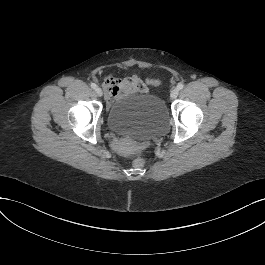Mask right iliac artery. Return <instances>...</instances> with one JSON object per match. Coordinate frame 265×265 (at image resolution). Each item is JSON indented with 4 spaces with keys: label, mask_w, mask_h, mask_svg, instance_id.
Wrapping results in <instances>:
<instances>
[{
    "label": "right iliac artery",
    "mask_w": 265,
    "mask_h": 265,
    "mask_svg": "<svg viewBox=\"0 0 265 265\" xmlns=\"http://www.w3.org/2000/svg\"><path fill=\"white\" fill-rule=\"evenodd\" d=\"M91 88L95 89L97 87V85L95 83H91Z\"/></svg>",
    "instance_id": "1"
}]
</instances>
